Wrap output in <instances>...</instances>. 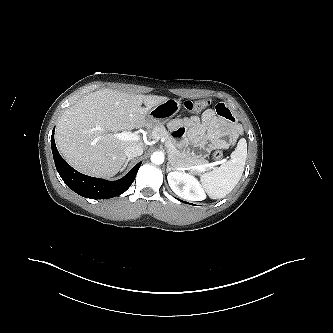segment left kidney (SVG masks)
Segmentation results:
<instances>
[{"label":"left kidney","instance_id":"obj_1","mask_svg":"<svg viewBox=\"0 0 333 333\" xmlns=\"http://www.w3.org/2000/svg\"><path fill=\"white\" fill-rule=\"evenodd\" d=\"M167 179L172 191L181 198L192 201H202L206 198L199 181L190 174L175 171L169 173Z\"/></svg>","mask_w":333,"mask_h":333}]
</instances>
